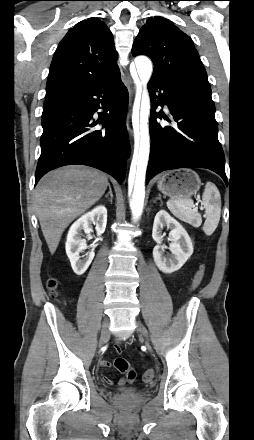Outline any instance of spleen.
I'll return each mask as SVG.
<instances>
[{
  "label": "spleen",
  "instance_id": "spleen-1",
  "mask_svg": "<svg viewBox=\"0 0 254 440\" xmlns=\"http://www.w3.org/2000/svg\"><path fill=\"white\" fill-rule=\"evenodd\" d=\"M202 204L205 208L206 220L203 224V231L207 236L213 234L218 226L221 215V196L216 185L208 181L202 196ZM171 213L194 227L202 224L201 214L193 209V200L190 198H175L167 202Z\"/></svg>",
  "mask_w": 254,
  "mask_h": 440
}]
</instances>
